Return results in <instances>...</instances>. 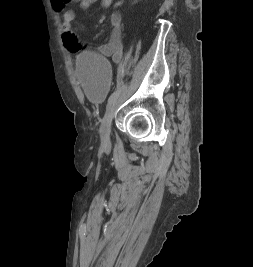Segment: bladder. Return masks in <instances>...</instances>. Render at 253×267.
Masks as SVG:
<instances>
[{
  "label": "bladder",
  "instance_id": "1",
  "mask_svg": "<svg viewBox=\"0 0 253 267\" xmlns=\"http://www.w3.org/2000/svg\"><path fill=\"white\" fill-rule=\"evenodd\" d=\"M107 59L96 52H83L76 60L75 75L84 93L95 102L107 96L110 79Z\"/></svg>",
  "mask_w": 253,
  "mask_h": 267
}]
</instances>
